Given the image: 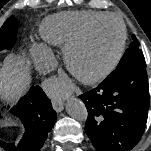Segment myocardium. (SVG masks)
Segmentation results:
<instances>
[{
  "label": "myocardium",
  "mask_w": 151,
  "mask_h": 151,
  "mask_svg": "<svg viewBox=\"0 0 151 151\" xmlns=\"http://www.w3.org/2000/svg\"><path fill=\"white\" fill-rule=\"evenodd\" d=\"M107 20H114L120 26L121 38H120L118 49L113 59L105 67L92 74L85 75L81 73L75 66L74 54L78 49H80L85 44V42L88 40L92 32L100 24H102ZM126 42H127V27L124 20L117 14H113V13L106 14L93 21L78 37H76L74 40H72L71 42L65 45L64 59H65L66 66L68 70L71 72V74L75 76L82 83L94 84L100 82L103 79H105L107 76H109L120 63L124 55Z\"/></svg>",
  "instance_id": "f54148a6"
}]
</instances>
